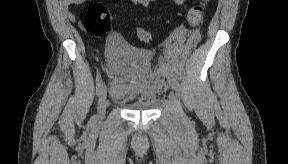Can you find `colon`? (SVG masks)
<instances>
[{"label":"colon","instance_id":"obj_1","mask_svg":"<svg viewBox=\"0 0 288 164\" xmlns=\"http://www.w3.org/2000/svg\"><path fill=\"white\" fill-rule=\"evenodd\" d=\"M203 11L202 4L193 6L187 13L189 24L192 26L199 24ZM84 26L94 36H103L111 31V14L104 4L95 2L90 5L84 19ZM137 36L143 42L150 40L149 34L140 29L137 31Z\"/></svg>","mask_w":288,"mask_h":164}]
</instances>
